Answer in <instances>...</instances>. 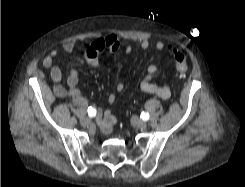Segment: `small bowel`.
Returning <instances> with one entry per match:
<instances>
[{
	"mask_svg": "<svg viewBox=\"0 0 245 187\" xmlns=\"http://www.w3.org/2000/svg\"><path fill=\"white\" fill-rule=\"evenodd\" d=\"M140 46L142 49H147L150 43L147 39H142L140 41ZM166 47L165 42L158 40L155 43V49L157 51H162ZM75 49L73 42H66L63 44V50L66 53H72ZM120 49V42L115 36H106L96 39L92 42L84 52V60L87 64L92 67H97L99 65V56L105 51L109 50L116 52ZM125 51L130 53L132 48L130 46L125 47ZM58 56L57 50H52L44 59L43 67L49 70V75L51 80L55 83L53 86V92L57 97H78L80 95L79 88V76L78 69L73 67L70 69L66 86L61 84L62 81V71L58 65L55 64V58ZM159 72V67L152 64L148 67V74L140 83V89L143 93L156 95L162 99H168L171 96V90L167 85H160L154 82L155 75ZM125 86L122 82H119L116 86L118 92H122ZM116 100V95L111 94L109 96V102L113 103ZM100 126L106 134H111L113 130V125L116 123V118L112 111L108 108L102 109L100 111Z\"/></svg>",
	"mask_w": 245,
	"mask_h": 187,
	"instance_id": "c3829d8e",
	"label": "small bowel"
}]
</instances>
